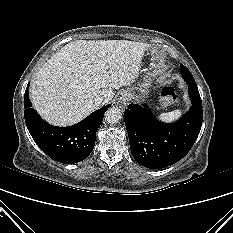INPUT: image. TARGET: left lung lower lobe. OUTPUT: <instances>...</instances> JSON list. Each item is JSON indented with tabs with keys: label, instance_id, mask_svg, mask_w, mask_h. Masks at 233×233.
Listing matches in <instances>:
<instances>
[{
	"label": "left lung lower lobe",
	"instance_id": "1",
	"mask_svg": "<svg viewBox=\"0 0 233 233\" xmlns=\"http://www.w3.org/2000/svg\"><path fill=\"white\" fill-rule=\"evenodd\" d=\"M192 107L178 121L162 123L146 104H130L124 120L135 160L150 169L181 160L194 145L202 126V101L195 81H187Z\"/></svg>",
	"mask_w": 233,
	"mask_h": 233
}]
</instances>
